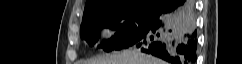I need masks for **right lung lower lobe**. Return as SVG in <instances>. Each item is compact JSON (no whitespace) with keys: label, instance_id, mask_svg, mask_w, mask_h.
Returning <instances> with one entry per match:
<instances>
[{"label":"right lung lower lobe","instance_id":"right-lung-lower-lobe-1","mask_svg":"<svg viewBox=\"0 0 242 64\" xmlns=\"http://www.w3.org/2000/svg\"><path fill=\"white\" fill-rule=\"evenodd\" d=\"M196 36L192 0H162L157 20L130 46L170 64H195Z\"/></svg>","mask_w":242,"mask_h":64}]
</instances>
